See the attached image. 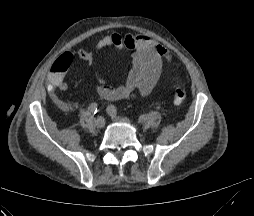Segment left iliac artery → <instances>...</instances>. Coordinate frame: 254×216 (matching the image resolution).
Here are the masks:
<instances>
[{
    "label": "left iliac artery",
    "instance_id": "1",
    "mask_svg": "<svg viewBox=\"0 0 254 216\" xmlns=\"http://www.w3.org/2000/svg\"><path fill=\"white\" fill-rule=\"evenodd\" d=\"M107 111L111 112V113H114V114L118 113L117 108L114 105L108 106Z\"/></svg>",
    "mask_w": 254,
    "mask_h": 216
}]
</instances>
